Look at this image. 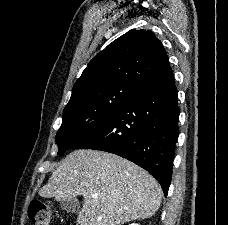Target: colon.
Segmentation results:
<instances>
[{
  "mask_svg": "<svg viewBox=\"0 0 228 225\" xmlns=\"http://www.w3.org/2000/svg\"><path fill=\"white\" fill-rule=\"evenodd\" d=\"M28 216L32 225H51V211L40 200H32L28 208Z\"/></svg>",
  "mask_w": 228,
  "mask_h": 225,
  "instance_id": "5ec220e1",
  "label": "colon"
}]
</instances>
